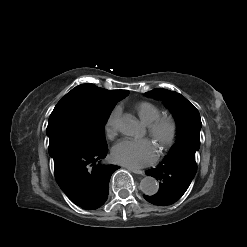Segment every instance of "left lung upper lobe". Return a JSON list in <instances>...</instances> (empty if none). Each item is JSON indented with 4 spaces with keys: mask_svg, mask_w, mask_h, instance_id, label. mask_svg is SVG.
<instances>
[{
    "mask_svg": "<svg viewBox=\"0 0 247 247\" xmlns=\"http://www.w3.org/2000/svg\"><path fill=\"white\" fill-rule=\"evenodd\" d=\"M145 95L163 100L176 119L177 140L170 152L183 148L197 151L200 147L199 134L202 123L196 107L181 94L166 89L156 88Z\"/></svg>",
    "mask_w": 247,
    "mask_h": 247,
    "instance_id": "1",
    "label": "left lung upper lobe"
}]
</instances>
